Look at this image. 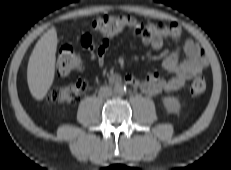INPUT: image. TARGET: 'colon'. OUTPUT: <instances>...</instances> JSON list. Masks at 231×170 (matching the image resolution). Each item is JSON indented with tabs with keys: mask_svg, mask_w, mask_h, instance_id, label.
Here are the masks:
<instances>
[{
	"mask_svg": "<svg viewBox=\"0 0 231 170\" xmlns=\"http://www.w3.org/2000/svg\"><path fill=\"white\" fill-rule=\"evenodd\" d=\"M91 29L99 34L114 36L117 33L131 29L135 33L143 30V24L129 15L105 14L95 18L91 23ZM82 68V60L71 46H63L57 54L56 72L68 75ZM87 90L85 79L51 89L47 94V100L52 103L70 105L78 102ZM206 90V81L203 77H197L190 86L193 95H200Z\"/></svg>",
	"mask_w": 231,
	"mask_h": 170,
	"instance_id": "5ec220e1",
	"label": "colon"
}]
</instances>
